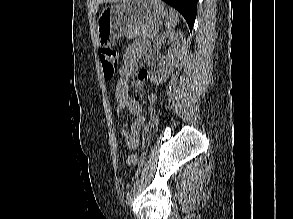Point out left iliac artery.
Listing matches in <instances>:
<instances>
[{
	"mask_svg": "<svg viewBox=\"0 0 293 219\" xmlns=\"http://www.w3.org/2000/svg\"><path fill=\"white\" fill-rule=\"evenodd\" d=\"M143 164H144V160H142L140 166L138 167V169H137V171H136V176H135V178H138V176L140 175V173H141V171H142ZM134 186H135V183H134Z\"/></svg>",
	"mask_w": 293,
	"mask_h": 219,
	"instance_id": "1",
	"label": "left iliac artery"
}]
</instances>
